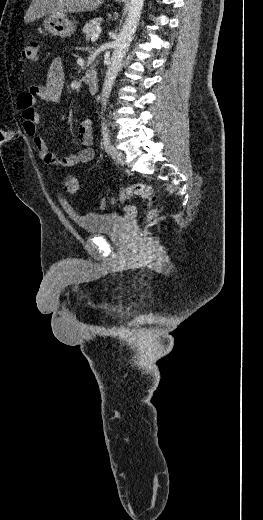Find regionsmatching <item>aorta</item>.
<instances>
[{
    "label": "aorta",
    "mask_w": 263,
    "mask_h": 520,
    "mask_svg": "<svg viewBox=\"0 0 263 520\" xmlns=\"http://www.w3.org/2000/svg\"><path fill=\"white\" fill-rule=\"evenodd\" d=\"M144 1L145 0H130L128 16L117 39L116 47L112 53L111 62L104 79L101 92V104L103 108L106 107L114 81L121 69L122 61L134 38V34L141 17Z\"/></svg>",
    "instance_id": "762f6f07"
}]
</instances>
